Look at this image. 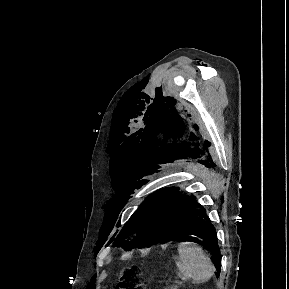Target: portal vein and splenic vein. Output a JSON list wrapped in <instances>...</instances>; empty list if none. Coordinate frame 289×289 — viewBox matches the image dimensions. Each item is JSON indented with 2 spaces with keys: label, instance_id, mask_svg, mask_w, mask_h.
I'll use <instances>...</instances> for the list:
<instances>
[{
  "label": "portal vein and splenic vein",
  "instance_id": "18ae733b",
  "mask_svg": "<svg viewBox=\"0 0 289 289\" xmlns=\"http://www.w3.org/2000/svg\"><path fill=\"white\" fill-rule=\"evenodd\" d=\"M184 280H185V278H184V277H182V278H181V281H184Z\"/></svg>",
  "mask_w": 289,
  "mask_h": 289
}]
</instances>
